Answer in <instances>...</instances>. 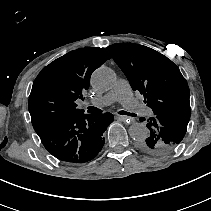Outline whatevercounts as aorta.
<instances>
[{
	"mask_svg": "<svg viewBox=\"0 0 211 211\" xmlns=\"http://www.w3.org/2000/svg\"><path fill=\"white\" fill-rule=\"evenodd\" d=\"M116 81L114 71L102 66L96 69L91 77V85L98 90L110 89ZM129 135L136 141L144 140L149 135L148 128L139 122H134L129 128Z\"/></svg>",
	"mask_w": 211,
	"mask_h": 211,
	"instance_id": "obj_1",
	"label": "aorta"
}]
</instances>
